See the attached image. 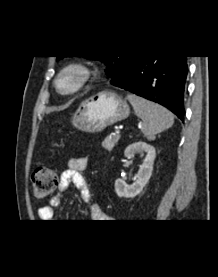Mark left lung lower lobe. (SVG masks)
<instances>
[{"instance_id":"0a47b994","label":"left lung lower lobe","mask_w":218,"mask_h":277,"mask_svg":"<svg viewBox=\"0 0 218 277\" xmlns=\"http://www.w3.org/2000/svg\"><path fill=\"white\" fill-rule=\"evenodd\" d=\"M187 56L134 55L111 84L157 102L184 120Z\"/></svg>"}]
</instances>
